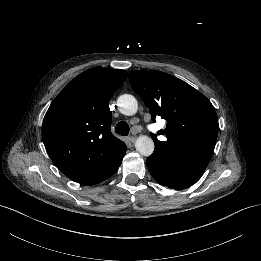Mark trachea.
Returning a JSON list of instances; mask_svg holds the SVG:
<instances>
[{"mask_svg": "<svg viewBox=\"0 0 261 261\" xmlns=\"http://www.w3.org/2000/svg\"><path fill=\"white\" fill-rule=\"evenodd\" d=\"M115 131L119 135L127 136L129 134L130 127L127 122L120 121L119 123H117V125L115 127Z\"/></svg>", "mask_w": 261, "mask_h": 261, "instance_id": "1", "label": "trachea"}]
</instances>
